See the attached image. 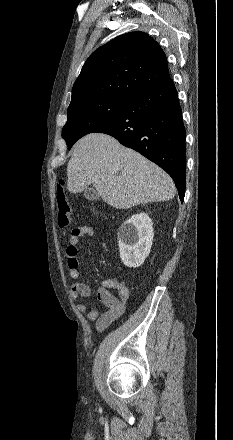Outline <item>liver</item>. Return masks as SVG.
<instances>
[{
    "label": "liver",
    "instance_id": "liver-1",
    "mask_svg": "<svg viewBox=\"0 0 233 440\" xmlns=\"http://www.w3.org/2000/svg\"><path fill=\"white\" fill-rule=\"evenodd\" d=\"M67 176L69 192L93 184L103 201L117 209L168 201L176 193L165 171L104 133H90L75 143Z\"/></svg>",
    "mask_w": 233,
    "mask_h": 440
}]
</instances>
